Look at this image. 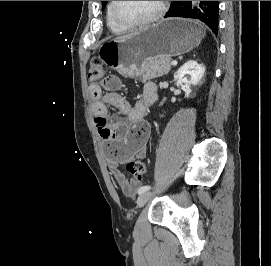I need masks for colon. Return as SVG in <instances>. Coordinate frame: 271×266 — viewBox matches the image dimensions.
<instances>
[{
    "mask_svg": "<svg viewBox=\"0 0 271 266\" xmlns=\"http://www.w3.org/2000/svg\"><path fill=\"white\" fill-rule=\"evenodd\" d=\"M105 74V68L100 60L93 59L88 70V79L91 82L98 81ZM126 171L133 177L134 180L140 182L145 173L146 166L141 160H132L126 164Z\"/></svg>",
    "mask_w": 271,
    "mask_h": 266,
    "instance_id": "1",
    "label": "colon"
}]
</instances>
